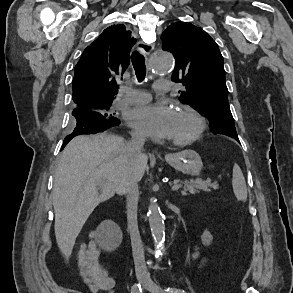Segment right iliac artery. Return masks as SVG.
<instances>
[{
  "instance_id": "82829eb1",
  "label": "right iliac artery",
  "mask_w": 293,
  "mask_h": 293,
  "mask_svg": "<svg viewBox=\"0 0 293 293\" xmlns=\"http://www.w3.org/2000/svg\"><path fill=\"white\" fill-rule=\"evenodd\" d=\"M131 293H142V288L140 284H134Z\"/></svg>"
}]
</instances>
